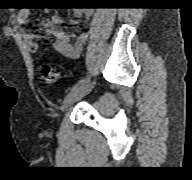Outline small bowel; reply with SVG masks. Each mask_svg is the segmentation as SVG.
<instances>
[{"mask_svg":"<svg viewBox=\"0 0 192 180\" xmlns=\"http://www.w3.org/2000/svg\"><path fill=\"white\" fill-rule=\"evenodd\" d=\"M91 17L92 10H82L79 8L74 9L73 16L76 21L81 20L83 16ZM29 11L27 9H21L17 13V22L21 26H25L28 23ZM61 19L58 16H52L51 19L43 24L44 31L47 35H51L55 38L54 49L56 52L70 59H76L80 56L83 46L88 38L87 33L83 32L78 35H73L65 32L61 28ZM25 46L31 53L38 51L37 40H44L45 37L39 36L30 32H23L22 34ZM75 38L74 42L71 41Z\"/></svg>","mask_w":192,"mask_h":180,"instance_id":"1","label":"small bowel"}]
</instances>
